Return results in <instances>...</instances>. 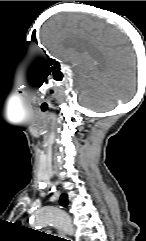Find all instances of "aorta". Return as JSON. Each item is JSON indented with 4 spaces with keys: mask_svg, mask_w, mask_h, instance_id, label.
<instances>
[{
    "mask_svg": "<svg viewBox=\"0 0 146 241\" xmlns=\"http://www.w3.org/2000/svg\"><path fill=\"white\" fill-rule=\"evenodd\" d=\"M49 224L59 227L68 235L74 233V226L70 216L58 207H42L31 218V225L35 228H42Z\"/></svg>",
    "mask_w": 146,
    "mask_h": 241,
    "instance_id": "aorta-1",
    "label": "aorta"
}]
</instances>
